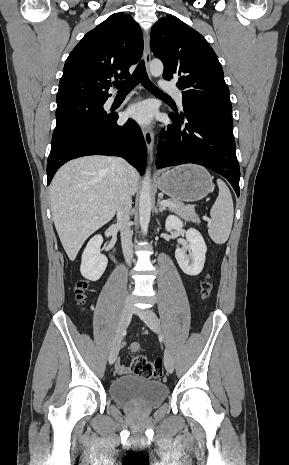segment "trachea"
Segmentation results:
<instances>
[{"mask_svg": "<svg viewBox=\"0 0 289 465\" xmlns=\"http://www.w3.org/2000/svg\"><path fill=\"white\" fill-rule=\"evenodd\" d=\"M141 83L148 91L164 96L169 97L167 94L162 92L159 88H157L149 79L144 61H141L137 68L135 69L134 73L125 81H116L114 83L115 87H117L119 92H126L131 91L137 84Z\"/></svg>", "mask_w": 289, "mask_h": 465, "instance_id": "trachea-1", "label": "trachea"}]
</instances>
